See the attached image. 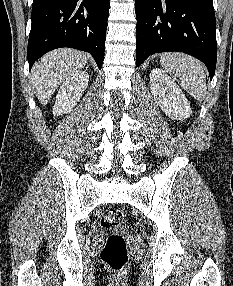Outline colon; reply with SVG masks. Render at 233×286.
I'll return each instance as SVG.
<instances>
[{"instance_id": "obj_1", "label": "colon", "mask_w": 233, "mask_h": 286, "mask_svg": "<svg viewBox=\"0 0 233 286\" xmlns=\"http://www.w3.org/2000/svg\"><path fill=\"white\" fill-rule=\"evenodd\" d=\"M124 222V213L115 208L107 209L101 217V225L105 228H118ZM100 257L112 272L122 271L128 261L127 247L123 236L111 234L100 252Z\"/></svg>"}]
</instances>
